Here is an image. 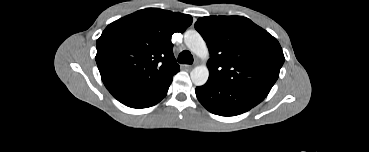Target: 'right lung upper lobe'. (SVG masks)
<instances>
[{"instance_id":"obj_1","label":"right lung upper lobe","mask_w":369,"mask_h":152,"mask_svg":"<svg viewBox=\"0 0 369 152\" xmlns=\"http://www.w3.org/2000/svg\"><path fill=\"white\" fill-rule=\"evenodd\" d=\"M191 23L190 15L147 8L109 24L96 55L108 91L122 102L163 86L179 71L171 36Z\"/></svg>"}]
</instances>
